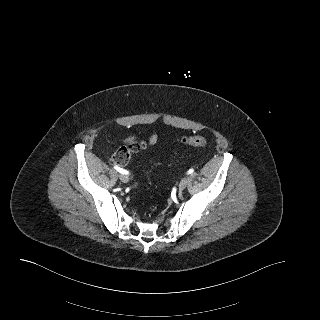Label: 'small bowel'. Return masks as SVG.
<instances>
[{"mask_svg": "<svg viewBox=\"0 0 320 320\" xmlns=\"http://www.w3.org/2000/svg\"><path fill=\"white\" fill-rule=\"evenodd\" d=\"M136 138L137 137L135 135H129V136L122 138V141L129 144V143L135 142ZM157 139H158L157 134L152 133L147 140L148 145H154L157 142Z\"/></svg>", "mask_w": 320, "mask_h": 320, "instance_id": "c3829d8e", "label": "small bowel"}]
</instances>
